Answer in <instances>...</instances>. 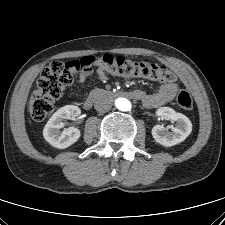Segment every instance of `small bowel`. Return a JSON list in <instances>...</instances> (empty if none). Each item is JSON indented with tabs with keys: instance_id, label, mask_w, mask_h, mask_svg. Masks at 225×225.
Instances as JSON below:
<instances>
[{
	"instance_id": "c3829d8e",
	"label": "small bowel",
	"mask_w": 225,
	"mask_h": 225,
	"mask_svg": "<svg viewBox=\"0 0 225 225\" xmlns=\"http://www.w3.org/2000/svg\"><path fill=\"white\" fill-rule=\"evenodd\" d=\"M93 75L100 80H106L108 78L107 73L101 68L95 70L87 68L73 71L74 78L79 82H84ZM136 92L138 94V99H140L146 107L155 108L170 102L178 92V86L175 83H166L161 85L158 91L152 94L144 91Z\"/></svg>"
}]
</instances>
